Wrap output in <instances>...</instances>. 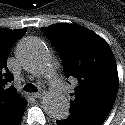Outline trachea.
<instances>
[{
    "instance_id": "1",
    "label": "trachea",
    "mask_w": 125,
    "mask_h": 125,
    "mask_svg": "<svg viewBox=\"0 0 125 125\" xmlns=\"http://www.w3.org/2000/svg\"><path fill=\"white\" fill-rule=\"evenodd\" d=\"M24 90H25L26 92L32 93V92H36V91H37V88L35 87V85H33V84H31V83H28V84H26V85L24 86Z\"/></svg>"
}]
</instances>
